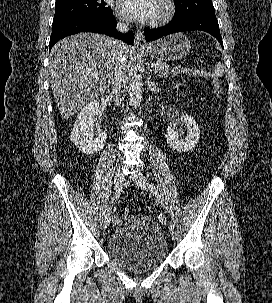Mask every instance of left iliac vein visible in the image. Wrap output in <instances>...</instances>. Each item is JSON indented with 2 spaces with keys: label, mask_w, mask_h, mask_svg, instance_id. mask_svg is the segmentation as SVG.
<instances>
[{
  "label": "left iliac vein",
  "mask_w": 272,
  "mask_h": 303,
  "mask_svg": "<svg viewBox=\"0 0 272 303\" xmlns=\"http://www.w3.org/2000/svg\"><path fill=\"white\" fill-rule=\"evenodd\" d=\"M131 177L138 187H140L143 190L149 189V182H148L147 178L141 172H137V173L133 174ZM168 228H169L170 234L174 237L175 229L171 228L170 226Z\"/></svg>",
  "instance_id": "left-iliac-vein-1"
}]
</instances>
